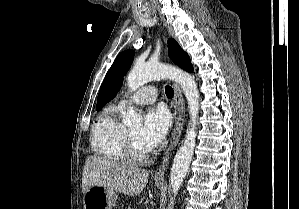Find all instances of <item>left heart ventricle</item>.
I'll list each match as a JSON object with an SVG mask.
<instances>
[{"mask_svg": "<svg viewBox=\"0 0 299 209\" xmlns=\"http://www.w3.org/2000/svg\"><path fill=\"white\" fill-rule=\"evenodd\" d=\"M140 129H141L140 127H135V128L127 130V133L130 136L137 153L145 154V153L149 152V150L143 144H141V142L139 141Z\"/></svg>", "mask_w": 299, "mask_h": 209, "instance_id": "left-heart-ventricle-1", "label": "left heart ventricle"}]
</instances>
